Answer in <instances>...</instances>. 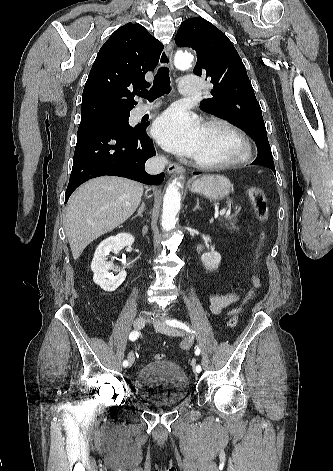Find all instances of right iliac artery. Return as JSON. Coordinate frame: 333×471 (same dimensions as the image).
Listing matches in <instances>:
<instances>
[{
	"mask_svg": "<svg viewBox=\"0 0 333 471\" xmlns=\"http://www.w3.org/2000/svg\"><path fill=\"white\" fill-rule=\"evenodd\" d=\"M139 333L137 331H132L130 334H129V339L131 341H135L138 337ZM129 364V362L127 360L123 361V366L124 367H127Z\"/></svg>",
	"mask_w": 333,
	"mask_h": 471,
	"instance_id": "right-iliac-artery-1",
	"label": "right iliac artery"
}]
</instances>
